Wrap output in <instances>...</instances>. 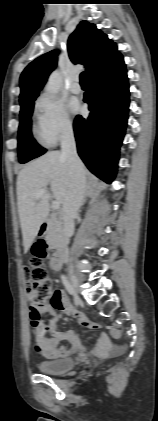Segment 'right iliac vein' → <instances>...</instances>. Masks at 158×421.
<instances>
[{"instance_id":"63e3f726","label":"right iliac vein","mask_w":158,"mask_h":421,"mask_svg":"<svg viewBox=\"0 0 158 421\" xmlns=\"http://www.w3.org/2000/svg\"><path fill=\"white\" fill-rule=\"evenodd\" d=\"M69 280H70V284L73 287V289L75 291H78V289H79V282H78L77 275L75 274V272L73 271V269H70L69 270Z\"/></svg>"}]
</instances>
